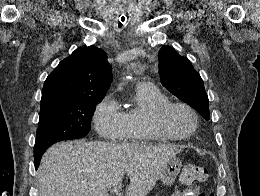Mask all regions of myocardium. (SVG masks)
Wrapping results in <instances>:
<instances>
[{
  "mask_svg": "<svg viewBox=\"0 0 260 196\" xmlns=\"http://www.w3.org/2000/svg\"><path fill=\"white\" fill-rule=\"evenodd\" d=\"M172 108H180L188 112L193 120L194 126L193 128L185 134L175 135L168 131L162 124L163 117L165 114ZM197 112L188 104L178 101H167L163 104L158 105L154 109V113L147 120V126L157 134H159L165 140H173V141H186L188 140L197 130Z\"/></svg>",
  "mask_w": 260,
  "mask_h": 196,
  "instance_id": "f54148a6",
  "label": "myocardium"
}]
</instances>
